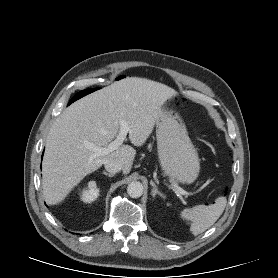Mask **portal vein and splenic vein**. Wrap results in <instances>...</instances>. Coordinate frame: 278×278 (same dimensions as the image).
<instances>
[{
  "label": "portal vein and splenic vein",
  "instance_id": "1",
  "mask_svg": "<svg viewBox=\"0 0 278 278\" xmlns=\"http://www.w3.org/2000/svg\"><path fill=\"white\" fill-rule=\"evenodd\" d=\"M128 131H129L128 124L126 123V121L121 120L120 121V132H119L117 138L114 141H112L107 147H95L91 144H87V147L92 149V151L94 152V156L108 155L109 153L116 150L123 143ZM173 186L176 188V190L181 195H184V196L191 195L189 192L185 191L183 188H181L177 184H173Z\"/></svg>",
  "mask_w": 278,
  "mask_h": 278
}]
</instances>
